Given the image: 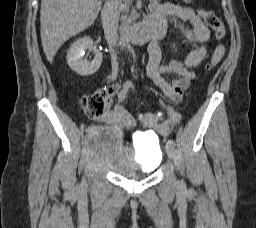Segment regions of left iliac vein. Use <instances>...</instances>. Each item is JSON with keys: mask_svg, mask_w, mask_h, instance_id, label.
I'll list each match as a JSON object with an SVG mask.
<instances>
[{"mask_svg": "<svg viewBox=\"0 0 256 228\" xmlns=\"http://www.w3.org/2000/svg\"><path fill=\"white\" fill-rule=\"evenodd\" d=\"M165 149H166V153H167L168 157L173 159L175 157L174 146L169 143H166Z\"/></svg>", "mask_w": 256, "mask_h": 228, "instance_id": "left-iliac-vein-1", "label": "left iliac vein"}]
</instances>
